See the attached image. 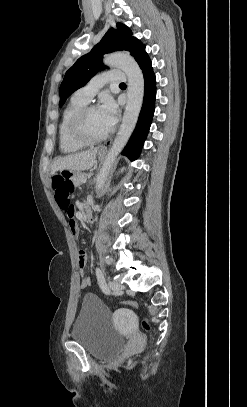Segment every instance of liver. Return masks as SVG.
<instances>
[{"mask_svg": "<svg viewBox=\"0 0 247 407\" xmlns=\"http://www.w3.org/2000/svg\"><path fill=\"white\" fill-rule=\"evenodd\" d=\"M98 148H92L87 151L70 154L65 157L57 158L51 169V174H55L59 170H70L80 172L93 167L96 161Z\"/></svg>", "mask_w": 247, "mask_h": 407, "instance_id": "1", "label": "liver"}]
</instances>
